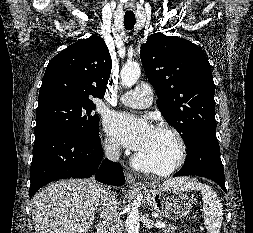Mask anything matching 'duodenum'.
<instances>
[{
	"instance_id": "410a0bca",
	"label": "duodenum",
	"mask_w": 253,
	"mask_h": 233,
	"mask_svg": "<svg viewBox=\"0 0 253 233\" xmlns=\"http://www.w3.org/2000/svg\"><path fill=\"white\" fill-rule=\"evenodd\" d=\"M105 229H106L105 224L102 223V224L99 225V230H100L101 232H103Z\"/></svg>"
}]
</instances>
